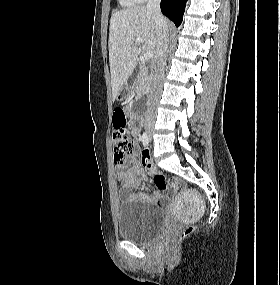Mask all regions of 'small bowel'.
Masks as SVG:
<instances>
[{
    "instance_id": "small-bowel-1",
    "label": "small bowel",
    "mask_w": 280,
    "mask_h": 285,
    "mask_svg": "<svg viewBox=\"0 0 280 285\" xmlns=\"http://www.w3.org/2000/svg\"><path fill=\"white\" fill-rule=\"evenodd\" d=\"M130 131L135 137L140 134V129L137 126H133ZM127 162L129 165L126 164V160L123 163H116L118 168V180L121 184L120 198L122 200H128L130 198L141 199L157 205L164 204L165 198L160 190H156L149 195L133 191L142 186L141 179L144 177L145 173H156V167L153 161L150 159L140 161L137 152L134 150L128 155Z\"/></svg>"
}]
</instances>
